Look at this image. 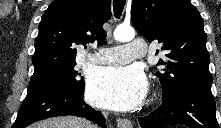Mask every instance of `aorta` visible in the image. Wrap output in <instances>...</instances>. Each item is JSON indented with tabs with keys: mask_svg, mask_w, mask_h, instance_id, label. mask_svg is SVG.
Listing matches in <instances>:
<instances>
[{
	"mask_svg": "<svg viewBox=\"0 0 221 128\" xmlns=\"http://www.w3.org/2000/svg\"><path fill=\"white\" fill-rule=\"evenodd\" d=\"M114 39L119 42H128L134 39L135 31L130 26L119 25L113 33Z\"/></svg>",
	"mask_w": 221,
	"mask_h": 128,
	"instance_id": "aorta-1",
	"label": "aorta"
}]
</instances>
